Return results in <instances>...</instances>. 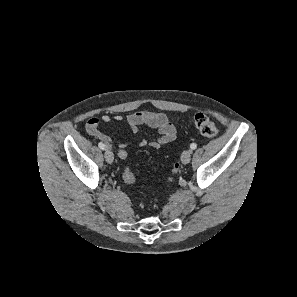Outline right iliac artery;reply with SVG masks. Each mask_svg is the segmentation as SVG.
Segmentation results:
<instances>
[{
    "label": "right iliac artery",
    "mask_w": 297,
    "mask_h": 297,
    "mask_svg": "<svg viewBox=\"0 0 297 297\" xmlns=\"http://www.w3.org/2000/svg\"><path fill=\"white\" fill-rule=\"evenodd\" d=\"M99 148L104 150L105 149V145L102 142H99L98 144Z\"/></svg>",
    "instance_id": "1"
}]
</instances>
